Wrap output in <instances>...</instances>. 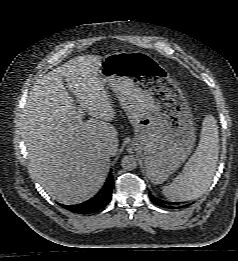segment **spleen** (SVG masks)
<instances>
[{
	"instance_id": "spleen-1",
	"label": "spleen",
	"mask_w": 238,
	"mask_h": 261,
	"mask_svg": "<svg viewBox=\"0 0 238 261\" xmlns=\"http://www.w3.org/2000/svg\"><path fill=\"white\" fill-rule=\"evenodd\" d=\"M219 132L215 118L208 115L202 122L199 144L183 171L172 183L163 186L162 194L170 201L194 200L209 188L219 156Z\"/></svg>"
}]
</instances>
